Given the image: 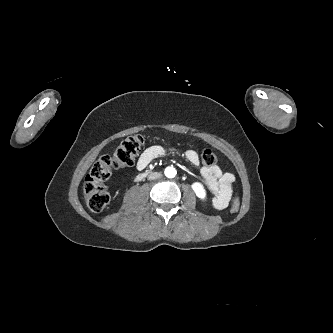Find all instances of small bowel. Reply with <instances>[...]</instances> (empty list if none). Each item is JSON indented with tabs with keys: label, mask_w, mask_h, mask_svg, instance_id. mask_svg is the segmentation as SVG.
Instances as JSON below:
<instances>
[{
	"label": "small bowel",
	"mask_w": 333,
	"mask_h": 333,
	"mask_svg": "<svg viewBox=\"0 0 333 333\" xmlns=\"http://www.w3.org/2000/svg\"><path fill=\"white\" fill-rule=\"evenodd\" d=\"M174 150V148L161 145L152 146L140 155L136 167L138 170L142 171L146 169L155 158ZM184 156L191 164L197 165L199 163L198 154L194 150H186ZM201 175L213 194V206L218 210L226 208L232 197V187L235 181L234 175L228 172L223 173L220 167L216 165L203 166L201 168Z\"/></svg>",
	"instance_id": "c3829d8e"
}]
</instances>
